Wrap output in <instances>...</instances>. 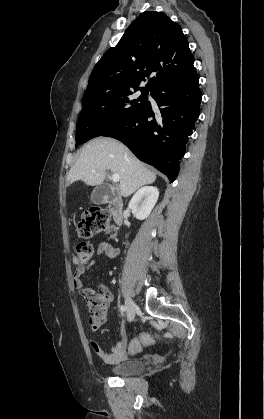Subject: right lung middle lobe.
Here are the masks:
<instances>
[{"mask_svg": "<svg viewBox=\"0 0 264 419\" xmlns=\"http://www.w3.org/2000/svg\"><path fill=\"white\" fill-rule=\"evenodd\" d=\"M140 90L139 97L134 95ZM143 88L96 93L85 96L81 115L77 122L76 147L88 140L102 136L143 107L148 91Z\"/></svg>", "mask_w": 264, "mask_h": 419, "instance_id": "right-lung-middle-lobe-1", "label": "right lung middle lobe"}]
</instances>
